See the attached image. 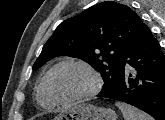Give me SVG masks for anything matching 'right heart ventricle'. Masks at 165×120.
Listing matches in <instances>:
<instances>
[{
	"label": "right heart ventricle",
	"instance_id": "right-heart-ventricle-1",
	"mask_svg": "<svg viewBox=\"0 0 165 120\" xmlns=\"http://www.w3.org/2000/svg\"><path fill=\"white\" fill-rule=\"evenodd\" d=\"M37 100L39 104L45 108H52L55 106V103L49 98L45 91L43 79L40 81L37 87Z\"/></svg>",
	"mask_w": 165,
	"mask_h": 120
}]
</instances>
